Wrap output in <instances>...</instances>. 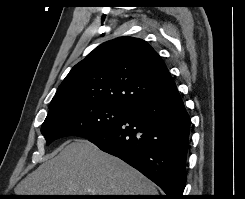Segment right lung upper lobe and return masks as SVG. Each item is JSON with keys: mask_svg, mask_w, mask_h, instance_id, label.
<instances>
[{"mask_svg": "<svg viewBox=\"0 0 245 199\" xmlns=\"http://www.w3.org/2000/svg\"><path fill=\"white\" fill-rule=\"evenodd\" d=\"M175 89L165 63L146 41L120 37L101 44L71 69L51 101L49 114L83 103L130 109Z\"/></svg>", "mask_w": 245, "mask_h": 199, "instance_id": "right-lung-upper-lobe-1", "label": "right lung upper lobe"}]
</instances>
